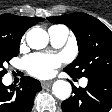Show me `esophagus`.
Wrapping results in <instances>:
<instances>
[{
	"mask_svg": "<svg viewBox=\"0 0 112 112\" xmlns=\"http://www.w3.org/2000/svg\"><path fill=\"white\" fill-rule=\"evenodd\" d=\"M52 82H53V81H42V82H41V86H42L43 88L50 87V86L52 85Z\"/></svg>",
	"mask_w": 112,
	"mask_h": 112,
	"instance_id": "1",
	"label": "esophagus"
}]
</instances>
